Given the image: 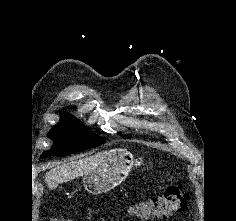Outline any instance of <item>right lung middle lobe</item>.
<instances>
[{
    "label": "right lung middle lobe",
    "mask_w": 236,
    "mask_h": 221,
    "mask_svg": "<svg viewBox=\"0 0 236 221\" xmlns=\"http://www.w3.org/2000/svg\"><path fill=\"white\" fill-rule=\"evenodd\" d=\"M48 137L54 140L53 151L57 156L83 151L104 143V138L90 134L76 118L67 113L61 114L60 122L52 127ZM49 154L50 152H46L43 157Z\"/></svg>",
    "instance_id": "1"
}]
</instances>
